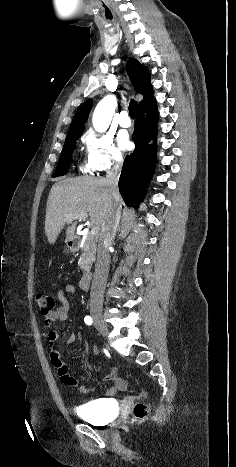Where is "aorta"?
<instances>
[{
	"instance_id": "762f6f07",
	"label": "aorta",
	"mask_w": 236,
	"mask_h": 467,
	"mask_svg": "<svg viewBox=\"0 0 236 467\" xmlns=\"http://www.w3.org/2000/svg\"><path fill=\"white\" fill-rule=\"evenodd\" d=\"M116 105L115 95H107L97 104L92 117V124L97 132H105L108 129Z\"/></svg>"
}]
</instances>
